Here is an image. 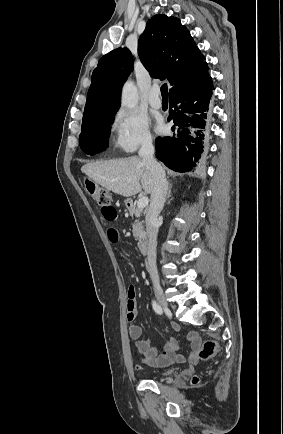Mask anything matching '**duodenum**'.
Segmentation results:
<instances>
[{
    "instance_id": "duodenum-1",
    "label": "duodenum",
    "mask_w": 283,
    "mask_h": 434,
    "mask_svg": "<svg viewBox=\"0 0 283 434\" xmlns=\"http://www.w3.org/2000/svg\"><path fill=\"white\" fill-rule=\"evenodd\" d=\"M127 206H128L129 209L133 210L134 209V203H133V201L132 200H128L127 201ZM149 243H150V241H149L148 235L144 234L140 238V240H139V248H140V250H141V252L143 254H146L148 252V250H149Z\"/></svg>"
}]
</instances>
